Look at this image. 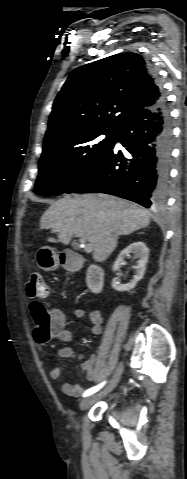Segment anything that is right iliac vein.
Wrapping results in <instances>:
<instances>
[{"label": "right iliac vein", "mask_w": 187, "mask_h": 479, "mask_svg": "<svg viewBox=\"0 0 187 479\" xmlns=\"http://www.w3.org/2000/svg\"><path fill=\"white\" fill-rule=\"evenodd\" d=\"M122 372H123V366H122V364H120L118 366V368L116 369L115 374H114L112 380L110 381V383L108 384V386L103 391H101L100 393H97L96 395L84 398L80 402V409L81 410L88 409L95 401H97L98 399L104 397L109 392H111L116 387V385L118 384V382L121 378Z\"/></svg>", "instance_id": "1"}]
</instances>
